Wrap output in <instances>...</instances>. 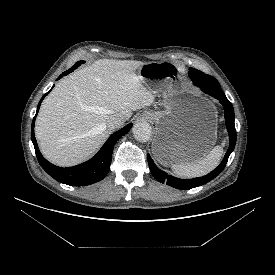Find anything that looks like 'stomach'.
<instances>
[{"label": "stomach", "mask_w": 275, "mask_h": 275, "mask_svg": "<svg viewBox=\"0 0 275 275\" xmlns=\"http://www.w3.org/2000/svg\"><path fill=\"white\" fill-rule=\"evenodd\" d=\"M180 72L171 62H148L138 69L143 82L163 94L165 110L145 116L156 125L152 152L164 166L199 161L217 139L214 104L189 90Z\"/></svg>", "instance_id": "0dacf381"}]
</instances>
